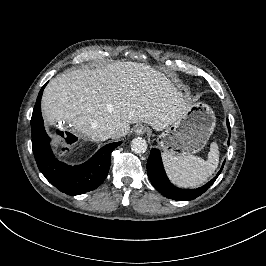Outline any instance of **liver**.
Masks as SVG:
<instances>
[{"label": "liver", "instance_id": "liver-1", "mask_svg": "<svg viewBox=\"0 0 266 266\" xmlns=\"http://www.w3.org/2000/svg\"><path fill=\"white\" fill-rule=\"evenodd\" d=\"M190 107L163 74L134 62L59 75L42 97V111L50 124H64L93 142L100 141L103 128L115 129L114 138L124 136L128 123L164 131Z\"/></svg>", "mask_w": 266, "mask_h": 266}]
</instances>
